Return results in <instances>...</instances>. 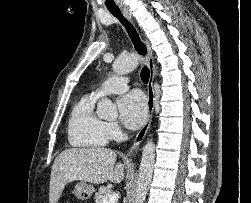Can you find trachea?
<instances>
[{
  "instance_id": "3493384b",
  "label": "trachea",
  "mask_w": 251,
  "mask_h": 203,
  "mask_svg": "<svg viewBox=\"0 0 251 203\" xmlns=\"http://www.w3.org/2000/svg\"><path fill=\"white\" fill-rule=\"evenodd\" d=\"M110 12L112 15L118 18L119 21L123 24V26L125 27V29L129 34L130 39L132 40V43L136 51L140 55L145 56L147 53L146 46L141 41L139 34L137 30L134 28V26L126 18L123 17L120 10H110ZM149 77H150V71L147 66H144L141 70V80L143 81V83L147 84L149 81Z\"/></svg>"
}]
</instances>
